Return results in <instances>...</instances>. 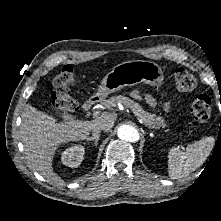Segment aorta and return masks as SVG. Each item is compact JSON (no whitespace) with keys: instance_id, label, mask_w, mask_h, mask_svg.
<instances>
[{"instance_id":"1","label":"aorta","mask_w":221,"mask_h":221,"mask_svg":"<svg viewBox=\"0 0 221 221\" xmlns=\"http://www.w3.org/2000/svg\"><path fill=\"white\" fill-rule=\"evenodd\" d=\"M117 135L121 140L127 142H137L140 138L139 132L130 125H121L118 127Z\"/></svg>"}]
</instances>
